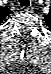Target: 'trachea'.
<instances>
[{
    "label": "trachea",
    "mask_w": 51,
    "mask_h": 74,
    "mask_svg": "<svg viewBox=\"0 0 51 74\" xmlns=\"http://www.w3.org/2000/svg\"><path fill=\"white\" fill-rule=\"evenodd\" d=\"M20 6L21 7H28L29 6V2L28 1H25V0H20Z\"/></svg>",
    "instance_id": "3493384b"
}]
</instances>
